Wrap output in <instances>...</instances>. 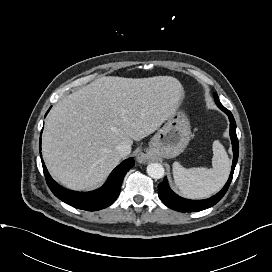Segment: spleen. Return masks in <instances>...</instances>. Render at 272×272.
<instances>
[{"label": "spleen", "mask_w": 272, "mask_h": 272, "mask_svg": "<svg viewBox=\"0 0 272 272\" xmlns=\"http://www.w3.org/2000/svg\"><path fill=\"white\" fill-rule=\"evenodd\" d=\"M213 168L182 167L178 162L173 163L174 182L181 193L189 198H207L219 191L228 179L231 161L223 145L215 140L212 146Z\"/></svg>", "instance_id": "spleen-1"}]
</instances>
